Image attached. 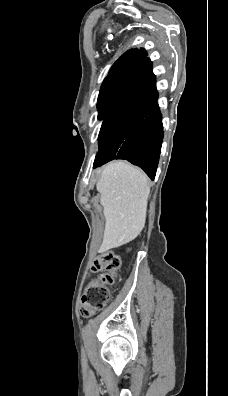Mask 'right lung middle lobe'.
<instances>
[{"instance_id": "dd1d6c3e", "label": "right lung middle lobe", "mask_w": 228, "mask_h": 396, "mask_svg": "<svg viewBox=\"0 0 228 396\" xmlns=\"http://www.w3.org/2000/svg\"><path fill=\"white\" fill-rule=\"evenodd\" d=\"M146 75L147 71H137L103 82L97 103L98 118L103 120L99 133V150L115 122L129 107Z\"/></svg>"}]
</instances>
